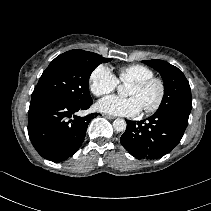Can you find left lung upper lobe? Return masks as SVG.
Masks as SVG:
<instances>
[{"mask_svg": "<svg viewBox=\"0 0 211 211\" xmlns=\"http://www.w3.org/2000/svg\"><path fill=\"white\" fill-rule=\"evenodd\" d=\"M143 62L157 70L164 81V96L157 111L176 110L189 115L192 108L191 89L182 71L162 60Z\"/></svg>", "mask_w": 211, "mask_h": 211, "instance_id": "5c2ea615", "label": "left lung upper lobe"}]
</instances>
